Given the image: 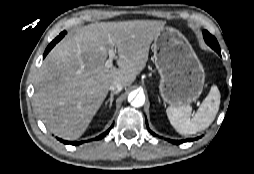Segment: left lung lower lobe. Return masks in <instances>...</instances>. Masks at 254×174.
I'll list each match as a JSON object with an SVG mask.
<instances>
[{"mask_svg": "<svg viewBox=\"0 0 254 174\" xmlns=\"http://www.w3.org/2000/svg\"><path fill=\"white\" fill-rule=\"evenodd\" d=\"M217 53L218 54H220V51H217ZM146 125H147V127H148V123H147V120H146ZM148 130H149V132L151 133V134H153L154 136H155V134L148 128ZM193 140H197V138H193V139H187V140H169L171 143H174V144H181V143H183V142H187V141H193Z\"/></svg>", "mask_w": 254, "mask_h": 174, "instance_id": "0a47b994", "label": "left lung lower lobe"}]
</instances>
